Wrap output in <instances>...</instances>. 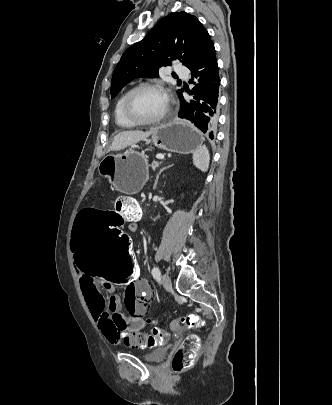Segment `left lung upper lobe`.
Returning a JSON list of instances; mask_svg holds the SVG:
<instances>
[{
  "label": "left lung upper lobe",
  "instance_id": "1",
  "mask_svg": "<svg viewBox=\"0 0 332 405\" xmlns=\"http://www.w3.org/2000/svg\"><path fill=\"white\" fill-rule=\"evenodd\" d=\"M212 43L195 16L184 11L167 15L123 53L113 73L111 98L135 78L158 77L159 68L173 60H180L190 69Z\"/></svg>",
  "mask_w": 332,
  "mask_h": 405
}]
</instances>
